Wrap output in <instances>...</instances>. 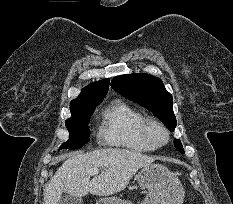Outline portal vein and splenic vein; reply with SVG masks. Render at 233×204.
<instances>
[{"label":"portal vein and splenic vein","instance_id":"18ae733b","mask_svg":"<svg viewBox=\"0 0 233 204\" xmlns=\"http://www.w3.org/2000/svg\"><path fill=\"white\" fill-rule=\"evenodd\" d=\"M99 173V169H90L89 171H88V174L89 175H97Z\"/></svg>","mask_w":233,"mask_h":204}]
</instances>
